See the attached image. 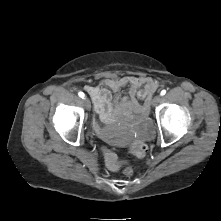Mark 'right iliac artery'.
Here are the masks:
<instances>
[{
	"mask_svg": "<svg viewBox=\"0 0 221 221\" xmlns=\"http://www.w3.org/2000/svg\"><path fill=\"white\" fill-rule=\"evenodd\" d=\"M78 95H79V97H81V98H84V97H85V94H84L83 92H79Z\"/></svg>",
	"mask_w": 221,
	"mask_h": 221,
	"instance_id": "obj_1",
	"label": "right iliac artery"
}]
</instances>
